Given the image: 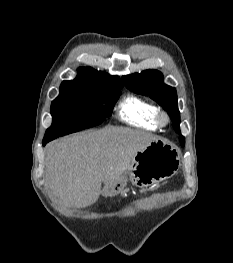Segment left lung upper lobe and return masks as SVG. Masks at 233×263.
Returning <instances> with one entry per match:
<instances>
[{
	"instance_id": "left-lung-upper-lobe-1",
	"label": "left lung upper lobe",
	"mask_w": 233,
	"mask_h": 263,
	"mask_svg": "<svg viewBox=\"0 0 233 263\" xmlns=\"http://www.w3.org/2000/svg\"><path fill=\"white\" fill-rule=\"evenodd\" d=\"M125 86L141 95H148L161 105L171 117L173 127L180 133V112L177 105V94L173 87L163 82V75L157 70H145L122 77ZM183 137L180 135L179 138ZM184 138V137H183Z\"/></svg>"
}]
</instances>
